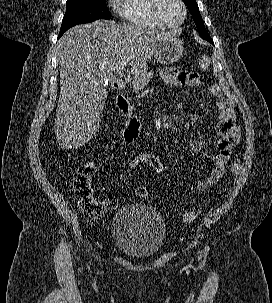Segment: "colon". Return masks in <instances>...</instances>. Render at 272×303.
<instances>
[{
    "label": "colon",
    "instance_id": "colon-1",
    "mask_svg": "<svg viewBox=\"0 0 272 303\" xmlns=\"http://www.w3.org/2000/svg\"><path fill=\"white\" fill-rule=\"evenodd\" d=\"M210 64V57L203 56L200 59V65L206 69ZM129 169H142L153 172L158 175L165 173V165L163 160L156 154L151 152H141L135 155L128 162ZM240 170V162L235 161L230 169V180H234ZM95 172V166L91 161L81 163L73 176V194L76 202L80 206L84 217L93 221L109 212L115 205L112 199H99L95 196L92 178ZM135 194L139 198L148 196L146 187H138ZM200 214V211L187 212L182 216L185 223L193 222Z\"/></svg>",
    "mask_w": 272,
    "mask_h": 303
}]
</instances>
